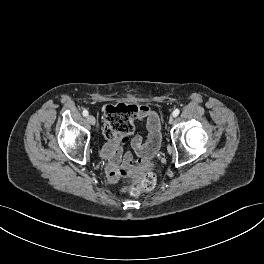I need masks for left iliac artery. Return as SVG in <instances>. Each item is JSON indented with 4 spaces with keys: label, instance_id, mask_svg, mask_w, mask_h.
Wrapping results in <instances>:
<instances>
[{
    "label": "left iliac artery",
    "instance_id": "left-iliac-artery-1",
    "mask_svg": "<svg viewBox=\"0 0 264 264\" xmlns=\"http://www.w3.org/2000/svg\"><path fill=\"white\" fill-rule=\"evenodd\" d=\"M179 113H180L179 109H175V110L172 112V115H173L174 117H177V116L179 115Z\"/></svg>",
    "mask_w": 264,
    "mask_h": 264
}]
</instances>
